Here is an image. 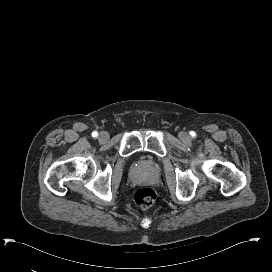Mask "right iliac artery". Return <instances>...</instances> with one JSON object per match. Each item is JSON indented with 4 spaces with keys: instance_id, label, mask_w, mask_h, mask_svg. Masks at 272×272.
I'll list each match as a JSON object with an SVG mask.
<instances>
[{
    "instance_id": "82829eb1",
    "label": "right iliac artery",
    "mask_w": 272,
    "mask_h": 272,
    "mask_svg": "<svg viewBox=\"0 0 272 272\" xmlns=\"http://www.w3.org/2000/svg\"><path fill=\"white\" fill-rule=\"evenodd\" d=\"M92 136H93V137H97V136H98V133H97L96 131H94V132L92 133Z\"/></svg>"
}]
</instances>
